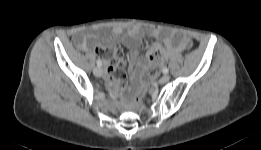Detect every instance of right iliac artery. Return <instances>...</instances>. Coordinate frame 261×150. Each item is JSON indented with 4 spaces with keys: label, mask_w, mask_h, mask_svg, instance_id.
<instances>
[{
    "label": "right iliac artery",
    "mask_w": 261,
    "mask_h": 150,
    "mask_svg": "<svg viewBox=\"0 0 261 150\" xmlns=\"http://www.w3.org/2000/svg\"><path fill=\"white\" fill-rule=\"evenodd\" d=\"M97 65L100 67L102 65L101 60H97Z\"/></svg>",
    "instance_id": "1"
}]
</instances>
